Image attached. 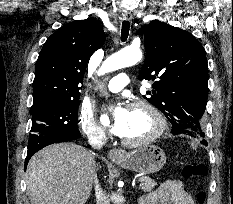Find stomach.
<instances>
[{"instance_id": "obj_1", "label": "stomach", "mask_w": 233, "mask_h": 204, "mask_svg": "<svg viewBox=\"0 0 233 204\" xmlns=\"http://www.w3.org/2000/svg\"><path fill=\"white\" fill-rule=\"evenodd\" d=\"M121 167L138 173L152 174L160 171L166 163L164 151L155 145H148L126 153L116 160Z\"/></svg>"}]
</instances>
